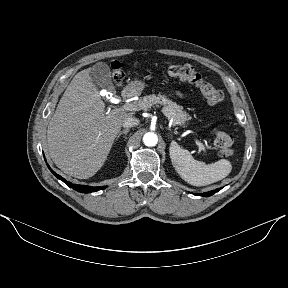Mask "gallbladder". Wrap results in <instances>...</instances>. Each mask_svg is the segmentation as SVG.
I'll return each mask as SVG.
<instances>
[{
	"instance_id": "bac80fb5",
	"label": "gallbladder",
	"mask_w": 288,
	"mask_h": 288,
	"mask_svg": "<svg viewBox=\"0 0 288 288\" xmlns=\"http://www.w3.org/2000/svg\"><path fill=\"white\" fill-rule=\"evenodd\" d=\"M90 78L96 88L106 89L109 92L114 91L111 71L106 63L99 62L95 64L90 70Z\"/></svg>"
}]
</instances>
